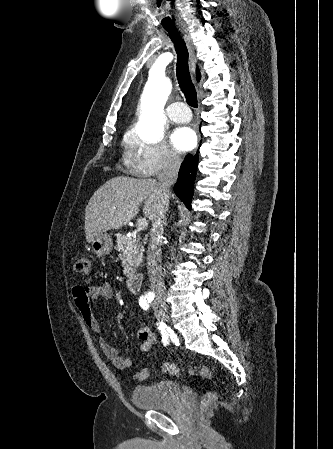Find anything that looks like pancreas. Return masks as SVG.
<instances>
[{
  "mask_svg": "<svg viewBox=\"0 0 333 449\" xmlns=\"http://www.w3.org/2000/svg\"><path fill=\"white\" fill-rule=\"evenodd\" d=\"M116 250L122 254V267L125 276H131L136 268L141 264L143 250L136 238H128L125 235L118 234Z\"/></svg>",
  "mask_w": 333,
  "mask_h": 449,
  "instance_id": "cf45deb5",
  "label": "pancreas"
}]
</instances>
